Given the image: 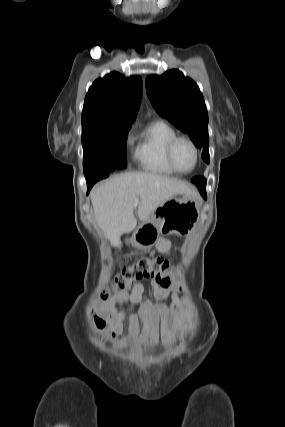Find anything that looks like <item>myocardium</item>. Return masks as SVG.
Instances as JSON below:
<instances>
[{"mask_svg": "<svg viewBox=\"0 0 285 427\" xmlns=\"http://www.w3.org/2000/svg\"><path fill=\"white\" fill-rule=\"evenodd\" d=\"M181 141H185V142L189 143L192 146V148L194 150V154H195L194 165L188 171H182V170H180L177 167V165L175 163V160H174V150H175V147ZM199 158H200V153H199L198 146L196 145V143L191 138H189L187 136L177 135L176 137H174L173 139H171L170 142L167 145V148H166V159H167V162H168L169 166L176 173L183 174V175L192 173L197 168V166H198Z\"/></svg>", "mask_w": 285, "mask_h": 427, "instance_id": "f54148a6", "label": "myocardium"}]
</instances>
